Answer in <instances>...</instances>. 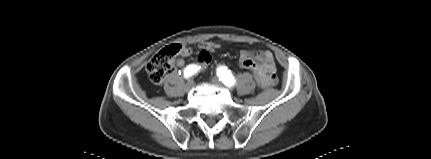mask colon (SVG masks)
Here are the masks:
<instances>
[{
    "label": "colon",
    "instance_id": "5ec220e1",
    "mask_svg": "<svg viewBox=\"0 0 431 159\" xmlns=\"http://www.w3.org/2000/svg\"><path fill=\"white\" fill-rule=\"evenodd\" d=\"M193 49L189 47H182L178 44L170 45L158 51L147 63L146 70L150 80L155 83H161L167 74H169L174 66V61L183 55L186 57L191 56ZM198 65L203 66L198 70L201 76H205L208 70L205 67L210 66L212 56L210 53L201 52L196 58ZM253 79L257 85L258 92H262L261 82L257 75H253Z\"/></svg>",
    "mask_w": 431,
    "mask_h": 159
}]
</instances>
